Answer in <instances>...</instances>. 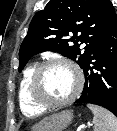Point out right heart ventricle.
<instances>
[{"instance_id": "e07e8e85", "label": "right heart ventricle", "mask_w": 117, "mask_h": 131, "mask_svg": "<svg viewBox=\"0 0 117 131\" xmlns=\"http://www.w3.org/2000/svg\"><path fill=\"white\" fill-rule=\"evenodd\" d=\"M35 67L36 65H30L28 68H26V70L23 72L19 84L18 91L19 104L21 111L26 116H36L45 111V108L36 105L32 101L29 94V84Z\"/></svg>"}]
</instances>
